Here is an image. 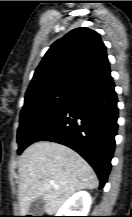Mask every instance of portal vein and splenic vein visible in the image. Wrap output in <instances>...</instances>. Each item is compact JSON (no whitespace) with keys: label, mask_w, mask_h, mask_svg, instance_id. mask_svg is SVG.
I'll return each instance as SVG.
<instances>
[{"label":"portal vein and splenic vein","mask_w":132,"mask_h":217,"mask_svg":"<svg viewBox=\"0 0 132 217\" xmlns=\"http://www.w3.org/2000/svg\"><path fill=\"white\" fill-rule=\"evenodd\" d=\"M50 183H51L52 185H54V186H55V182H54V181H50Z\"/></svg>","instance_id":"obj_1"}]
</instances>
